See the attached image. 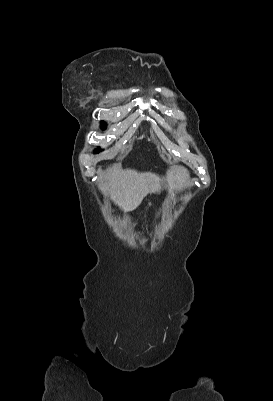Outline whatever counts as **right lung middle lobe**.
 Segmentation results:
<instances>
[{"label": "right lung middle lobe", "instance_id": "obj_1", "mask_svg": "<svg viewBox=\"0 0 273 401\" xmlns=\"http://www.w3.org/2000/svg\"><path fill=\"white\" fill-rule=\"evenodd\" d=\"M101 124H102V128L104 129L106 126V123L102 121ZM99 151H100L99 149H96L95 153H98Z\"/></svg>", "mask_w": 273, "mask_h": 401}]
</instances>
